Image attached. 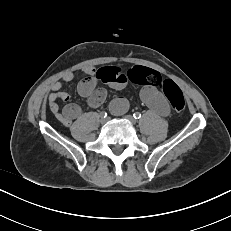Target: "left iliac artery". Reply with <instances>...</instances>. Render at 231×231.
Segmentation results:
<instances>
[{
	"label": "left iliac artery",
	"instance_id": "1",
	"mask_svg": "<svg viewBox=\"0 0 231 231\" xmlns=\"http://www.w3.org/2000/svg\"><path fill=\"white\" fill-rule=\"evenodd\" d=\"M141 113H139V112H135L134 114H133V117L135 118V119H140L141 118Z\"/></svg>",
	"mask_w": 231,
	"mask_h": 231
}]
</instances>
